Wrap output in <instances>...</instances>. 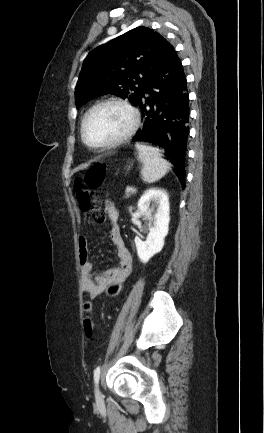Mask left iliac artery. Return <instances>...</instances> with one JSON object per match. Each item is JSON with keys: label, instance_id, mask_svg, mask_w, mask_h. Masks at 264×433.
I'll list each match as a JSON object with an SVG mask.
<instances>
[{"label": "left iliac artery", "instance_id": "left-iliac-artery-1", "mask_svg": "<svg viewBox=\"0 0 264 433\" xmlns=\"http://www.w3.org/2000/svg\"><path fill=\"white\" fill-rule=\"evenodd\" d=\"M99 378H100V366L96 367V369L94 370V381H95V384L98 383Z\"/></svg>", "mask_w": 264, "mask_h": 433}]
</instances>
